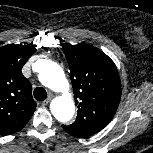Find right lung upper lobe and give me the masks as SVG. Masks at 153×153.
<instances>
[{"label": "right lung upper lobe", "mask_w": 153, "mask_h": 153, "mask_svg": "<svg viewBox=\"0 0 153 153\" xmlns=\"http://www.w3.org/2000/svg\"><path fill=\"white\" fill-rule=\"evenodd\" d=\"M35 52L32 46L8 44L0 48V135L20 131L36 109L31 84L21 71Z\"/></svg>", "instance_id": "right-lung-upper-lobe-1"}]
</instances>
